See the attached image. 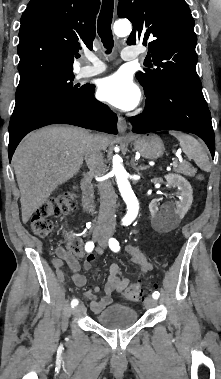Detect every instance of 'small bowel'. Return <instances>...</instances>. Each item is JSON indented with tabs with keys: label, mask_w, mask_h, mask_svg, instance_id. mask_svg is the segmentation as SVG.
I'll list each match as a JSON object with an SVG mask.
<instances>
[{
	"label": "small bowel",
	"mask_w": 221,
	"mask_h": 379,
	"mask_svg": "<svg viewBox=\"0 0 221 379\" xmlns=\"http://www.w3.org/2000/svg\"><path fill=\"white\" fill-rule=\"evenodd\" d=\"M127 251L131 256V260L135 263L143 273L151 271L152 265L147 260L143 252L135 246H128ZM96 253H100L97 249ZM58 259L54 260V266L57 270L58 276L63 280L62 267L63 262H65L73 272V282L76 286L82 287L86 284V278L80 273L81 265L77 257L65 249L58 250ZM95 260L94 254H88L83 267L89 270ZM130 282L127 277L123 275L121 267L113 263L109 267V276L107 283L104 287V294L101 298H97L96 294L100 291L98 285L93 286L91 289L84 292L85 298L90 301V308L94 313H100L103 309L112 303V293H122L129 286Z\"/></svg>",
	"instance_id": "c3829d8e"
}]
</instances>
